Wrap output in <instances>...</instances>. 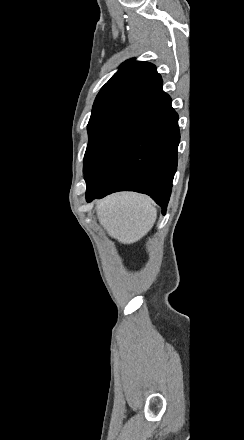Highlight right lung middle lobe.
<instances>
[{
    "instance_id": "right-lung-middle-lobe-1",
    "label": "right lung middle lobe",
    "mask_w": 244,
    "mask_h": 440,
    "mask_svg": "<svg viewBox=\"0 0 244 440\" xmlns=\"http://www.w3.org/2000/svg\"><path fill=\"white\" fill-rule=\"evenodd\" d=\"M139 100L135 97H117L94 102L87 126L89 143L84 157V173L88 171L94 155L108 134Z\"/></svg>"
}]
</instances>
